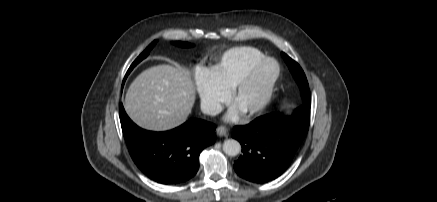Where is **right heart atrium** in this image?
I'll use <instances>...</instances> for the list:
<instances>
[{
	"label": "right heart atrium",
	"mask_w": 437,
	"mask_h": 202,
	"mask_svg": "<svg viewBox=\"0 0 437 202\" xmlns=\"http://www.w3.org/2000/svg\"><path fill=\"white\" fill-rule=\"evenodd\" d=\"M196 91L204 112L209 115L217 114L229 100V91L218 81L214 73L200 67L195 75Z\"/></svg>",
	"instance_id": "1"
}]
</instances>
